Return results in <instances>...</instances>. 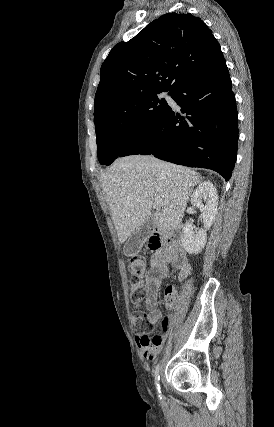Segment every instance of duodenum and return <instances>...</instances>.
I'll use <instances>...</instances> for the list:
<instances>
[{"instance_id": "duodenum-1", "label": "duodenum", "mask_w": 274, "mask_h": 427, "mask_svg": "<svg viewBox=\"0 0 274 427\" xmlns=\"http://www.w3.org/2000/svg\"><path fill=\"white\" fill-rule=\"evenodd\" d=\"M167 238V235L162 229L156 228L151 237V241L155 248L160 249L166 244Z\"/></svg>"}]
</instances>
